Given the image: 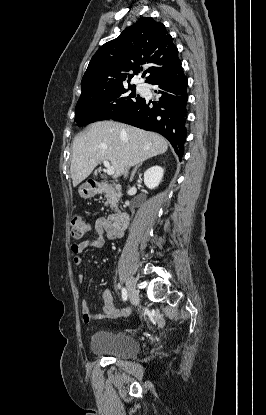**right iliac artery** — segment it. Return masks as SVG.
Instances as JSON below:
<instances>
[{
	"mask_svg": "<svg viewBox=\"0 0 266 415\" xmlns=\"http://www.w3.org/2000/svg\"><path fill=\"white\" fill-rule=\"evenodd\" d=\"M127 298H128L127 289H126V288H123V289H122V299H123L124 301H126V300H127Z\"/></svg>",
	"mask_w": 266,
	"mask_h": 415,
	"instance_id": "obj_1",
	"label": "right iliac artery"
}]
</instances>
